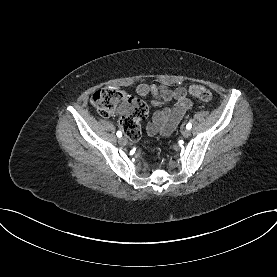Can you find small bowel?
I'll use <instances>...</instances> for the list:
<instances>
[{"label": "small bowel", "mask_w": 277, "mask_h": 277, "mask_svg": "<svg viewBox=\"0 0 277 277\" xmlns=\"http://www.w3.org/2000/svg\"><path fill=\"white\" fill-rule=\"evenodd\" d=\"M136 92L142 97H149L150 104L155 107H161L168 102L175 101L172 107H162L154 111L152 119L146 127L148 135H169L179 124L184 114L193 106L184 87L170 89L162 85L140 83L136 87ZM139 136L140 131L134 139H138Z\"/></svg>", "instance_id": "c3829d8e"}]
</instances>
